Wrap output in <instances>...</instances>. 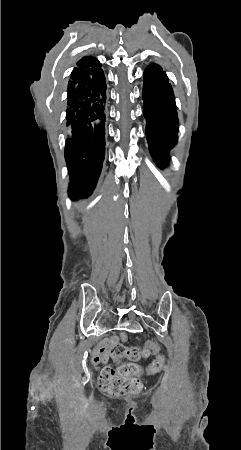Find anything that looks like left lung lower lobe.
I'll return each mask as SVG.
<instances>
[{"label": "left lung lower lobe", "mask_w": 241, "mask_h": 450, "mask_svg": "<svg viewBox=\"0 0 241 450\" xmlns=\"http://www.w3.org/2000/svg\"><path fill=\"white\" fill-rule=\"evenodd\" d=\"M143 78V114L149 151L155 163L163 168L169 161L168 152L177 140L179 124L175 97L169 79L159 65L151 64Z\"/></svg>", "instance_id": "1"}]
</instances>
